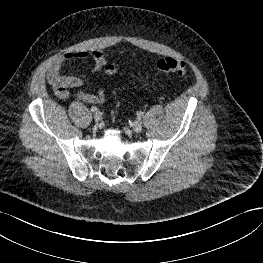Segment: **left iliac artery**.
<instances>
[{
  "mask_svg": "<svg viewBox=\"0 0 263 263\" xmlns=\"http://www.w3.org/2000/svg\"><path fill=\"white\" fill-rule=\"evenodd\" d=\"M137 115H138V117H141V116H143V112L142 111H138Z\"/></svg>",
  "mask_w": 263,
  "mask_h": 263,
  "instance_id": "1",
  "label": "left iliac artery"
}]
</instances>
